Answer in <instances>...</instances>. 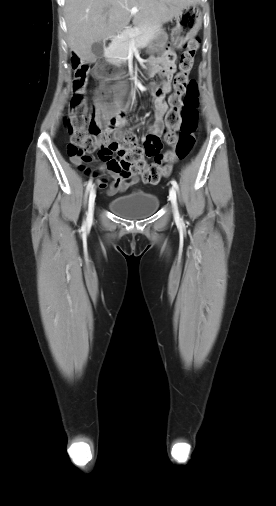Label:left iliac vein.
<instances>
[{"label":"left iliac vein","instance_id":"1","mask_svg":"<svg viewBox=\"0 0 276 506\" xmlns=\"http://www.w3.org/2000/svg\"><path fill=\"white\" fill-rule=\"evenodd\" d=\"M169 198H170V201H171L172 206H173L174 215L178 216L176 191H175V189L173 187L170 188Z\"/></svg>","mask_w":276,"mask_h":506}]
</instances>
